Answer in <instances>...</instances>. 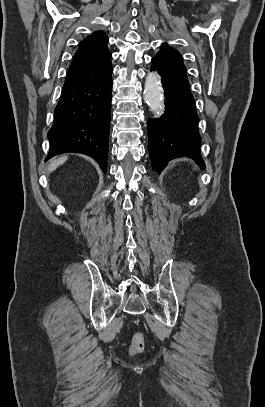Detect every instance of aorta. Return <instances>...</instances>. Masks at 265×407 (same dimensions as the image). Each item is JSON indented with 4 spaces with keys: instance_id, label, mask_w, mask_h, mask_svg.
I'll return each mask as SVG.
<instances>
[{
    "instance_id": "1",
    "label": "aorta",
    "mask_w": 265,
    "mask_h": 407,
    "mask_svg": "<svg viewBox=\"0 0 265 407\" xmlns=\"http://www.w3.org/2000/svg\"><path fill=\"white\" fill-rule=\"evenodd\" d=\"M143 98L153 113L161 114L164 108L161 78L157 72H149L144 85Z\"/></svg>"
}]
</instances>
